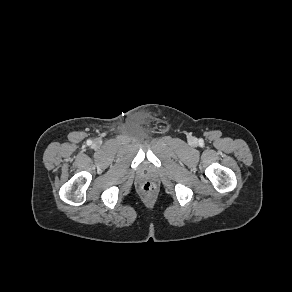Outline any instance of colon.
I'll return each mask as SVG.
<instances>
[{"instance_id":"obj_1","label":"colon","mask_w":292,"mask_h":292,"mask_svg":"<svg viewBox=\"0 0 292 292\" xmlns=\"http://www.w3.org/2000/svg\"><path fill=\"white\" fill-rule=\"evenodd\" d=\"M155 188H156L155 184L150 180L144 182V184L142 185V190L145 193H152L155 190Z\"/></svg>"}]
</instances>
